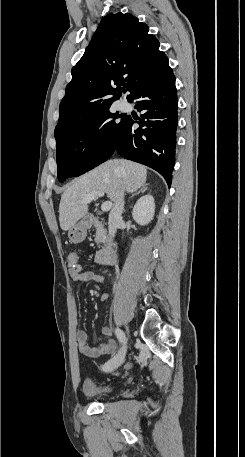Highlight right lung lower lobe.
I'll use <instances>...</instances> for the list:
<instances>
[{
	"label": "right lung lower lobe",
	"instance_id": "obj_1",
	"mask_svg": "<svg viewBox=\"0 0 245 457\" xmlns=\"http://www.w3.org/2000/svg\"><path fill=\"white\" fill-rule=\"evenodd\" d=\"M140 118L125 116L115 151L158 171L171 185L175 164L178 98L171 68L139 85L130 95ZM138 123L139 128L133 124Z\"/></svg>",
	"mask_w": 245,
	"mask_h": 457
}]
</instances>
